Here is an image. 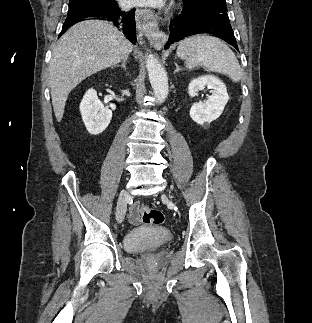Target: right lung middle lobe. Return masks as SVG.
Masks as SVG:
<instances>
[{"label": "right lung middle lobe", "instance_id": "1", "mask_svg": "<svg viewBox=\"0 0 312 323\" xmlns=\"http://www.w3.org/2000/svg\"><path fill=\"white\" fill-rule=\"evenodd\" d=\"M112 2H115V0H70L68 12L73 11L75 9L99 6L105 3Z\"/></svg>", "mask_w": 312, "mask_h": 323}]
</instances>
